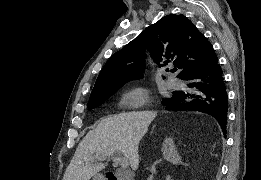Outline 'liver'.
Masks as SVG:
<instances>
[{
    "mask_svg": "<svg viewBox=\"0 0 261 180\" xmlns=\"http://www.w3.org/2000/svg\"><path fill=\"white\" fill-rule=\"evenodd\" d=\"M154 118L155 112H123L103 118L80 142L68 168L69 180H91L105 168L97 162L100 156L114 152H121L132 170H138L140 140Z\"/></svg>",
    "mask_w": 261,
    "mask_h": 180,
    "instance_id": "liver-1",
    "label": "liver"
}]
</instances>
